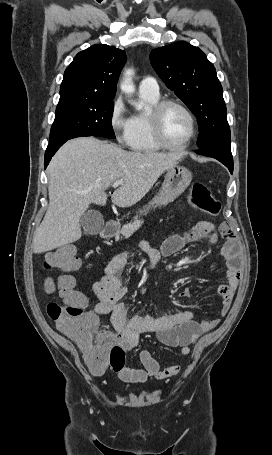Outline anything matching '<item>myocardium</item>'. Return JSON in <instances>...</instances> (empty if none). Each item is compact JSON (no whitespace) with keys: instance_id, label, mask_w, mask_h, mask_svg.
<instances>
[{"instance_id":"1","label":"myocardium","mask_w":272,"mask_h":455,"mask_svg":"<svg viewBox=\"0 0 272 455\" xmlns=\"http://www.w3.org/2000/svg\"><path fill=\"white\" fill-rule=\"evenodd\" d=\"M171 106L180 108L188 117L190 122V134L181 144H170L163 134L162 119L165 110ZM150 129L154 141L163 149L180 151L186 149L197 135V121L193 112L181 101L175 99H163L158 101L149 112Z\"/></svg>"}]
</instances>
